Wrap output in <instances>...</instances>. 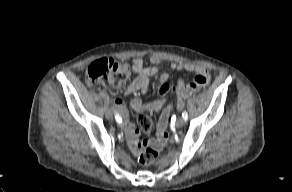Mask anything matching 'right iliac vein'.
I'll use <instances>...</instances> for the list:
<instances>
[{"label":"right iliac vein","mask_w":292,"mask_h":192,"mask_svg":"<svg viewBox=\"0 0 292 192\" xmlns=\"http://www.w3.org/2000/svg\"><path fill=\"white\" fill-rule=\"evenodd\" d=\"M106 118L109 119V120L113 119V114H112L111 111H107L106 112Z\"/></svg>","instance_id":"1"}]
</instances>
